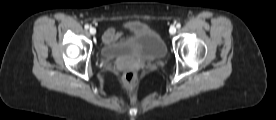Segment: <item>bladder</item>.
Here are the masks:
<instances>
[{"mask_svg": "<svg viewBox=\"0 0 276 120\" xmlns=\"http://www.w3.org/2000/svg\"><path fill=\"white\" fill-rule=\"evenodd\" d=\"M124 27L127 30L125 38L101 46L100 53L103 57L135 55L157 59L166 55V43L155 29L138 20L127 21Z\"/></svg>", "mask_w": 276, "mask_h": 120, "instance_id": "1", "label": "bladder"}]
</instances>
